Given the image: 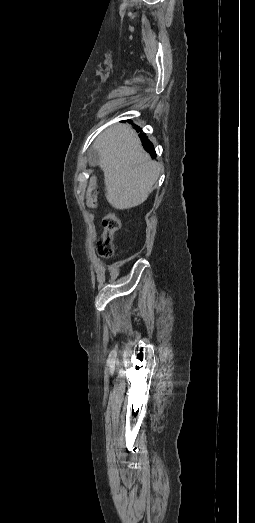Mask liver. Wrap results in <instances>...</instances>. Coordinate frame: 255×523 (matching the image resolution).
<instances>
[{
  "instance_id": "obj_1",
  "label": "liver",
  "mask_w": 255,
  "mask_h": 523,
  "mask_svg": "<svg viewBox=\"0 0 255 523\" xmlns=\"http://www.w3.org/2000/svg\"><path fill=\"white\" fill-rule=\"evenodd\" d=\"M104 172L105 196L116 210H128L147 200L161 166L143 150L135 130L117 124L102 132L94 142Z\"/></svg>"
}]
</instances>
